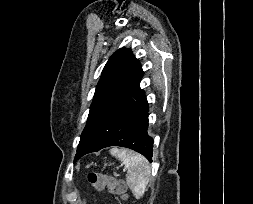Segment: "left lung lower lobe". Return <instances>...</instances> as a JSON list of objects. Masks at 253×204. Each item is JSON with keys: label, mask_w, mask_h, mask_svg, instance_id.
<instances>
[{"label": "left lung lower lobe", "mask_w": 253, "mask_h": 204, "mask_svg": "<svg viewBox=\"0 0 253 204\" xmlns=\"http://www.w3.org/2000/svg\"><path fill=\"white\" fill-rule=\"evenodd\" d=\"M148 111L145 93L138 87L85 128L74 162L87 153L109 146L130 148L152 162L154 141L147 134Z\"/></svg>", "instance_id": "obj_1"}]
</instances>
